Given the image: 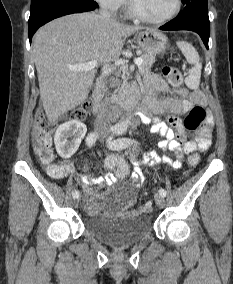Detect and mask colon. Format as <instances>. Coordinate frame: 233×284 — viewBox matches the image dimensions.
I'll return each mask as SVG.
<instances>
[{
    "mask_svg": "<svg viewBox=\"0 0 233 284\" xmlns=\"http://www.w3.org/2000/svg\"><path fill=\"white\" fill-rule=\"evenodd\" d=\"M163 74L172 86H180L182 83L181 72L174 67H164ZM92 108V103L86 101L79 108L75 109L71 113V117L74 120H84L89 114ZM206 120V111L201 105L193 106L185 117L183 124L186 130L194 131ZM55 131V124L50 121L45 112L40 109L36 114V121L34 125V149L39 160L43 164H49L54 157L51 145L52 134ZM198 155H191L188 159V163L191 166H195L199 163ZM106 168L111 171L116 179H123L129 173V167L127 163L118 155H111L106 159ZM141 212H150L151 205L144 204L139 209Z\"/></svg>",
    "mask_w": 233,
    "mask_h": 284,
    "instance_id": "colon-1",
    "label": "colon"
}]
</instances>
